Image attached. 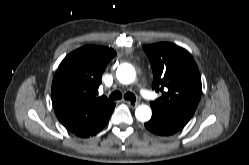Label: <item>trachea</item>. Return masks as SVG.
<instances>
[{
	"instance_id": "trachea-1",
	"label": "trachea",
	"mask_w": 249,
	"mask_h": 165,
	"mask_svg": "<svg viewBox=\"0 0 249 165\" xmlns=\"http://www.w3.org/2000/svg\"><path fill=\"white\" fill-rule=\"evenodd\" d=\"M122 98V93L120 91H114L113 93L110 94L109 99L111 100H119ZM124 99L125 100H129V101H135L136 97L133 93L131 92H127L124 95Z\"/></svg>"
}]
</instances>
